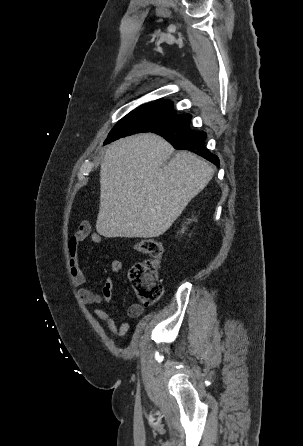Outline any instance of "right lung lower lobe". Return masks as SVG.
I'll return each mask as SVG.
<instances>
[{
	"mask_svg": "<svg viewBox=\"0 0 303 446\" xmlns=\"http://www.w3.org/2000/svg\"><path fill=\"white\" fill-rule=\"evenodd\" d=\"M190 114H172L157 120L142 132H153L169 141L175 149L192 151L216 166L220 165L216 155L208 151L204 145L206 133L194 131L190 128Z\"/></svg>",
	"mask_w": 303,
	"mask_h": 446,
	"instance_id": "1",
	"label": "right lung lower lobe"
}]
</instances>
